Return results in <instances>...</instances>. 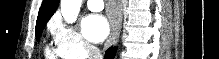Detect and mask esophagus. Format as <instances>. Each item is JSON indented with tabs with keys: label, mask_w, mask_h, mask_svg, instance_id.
<instances>
[{
	"label": "esophagus",
	"mask_w": 219,
	"mask_h": 59,
	"mask_svg": "<svg viewBox=\"0 0 219 59\" xmlns=\"http://www.w3.org/2000/svg\"><path fill=\"white\" fill-rule=\"evenodd\" d=\"M114 7L117 12H120L122 9V4L120 3V0H116L114 3ZM120 20H115L114 22L111 21V31L110 35L105 43L106 47L113 46L116 44V42L119 39L120 36Z\"/></svg>",
	"instance_id": "esophagus-1"
}]
</instances>
